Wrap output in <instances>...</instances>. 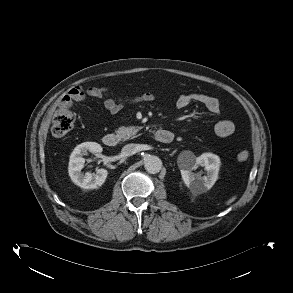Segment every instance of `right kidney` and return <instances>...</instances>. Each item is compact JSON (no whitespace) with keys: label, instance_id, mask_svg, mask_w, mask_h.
<instances>
[{"label":"right kidney","instance_id":"ca27d5eb","mask_svg":"<svg viewBox=\"0 0 293 293\" xmlns=\"http://www.w3.org/2000/svg\"><path fill=\"white\" fill-rule=\"evenodd\" d=\"M102 150L101 145L96 142H84L75 147L70 155L68 166V173L74 184L83 189H97L103 185L108 175L106 169H98L96 174L89 172L83 174L81 172L85 162L83 156L87 155L88 152L93 154L101 153Z\"/></svg>","mask_w":293,"mask_h":293}]
</instances>
